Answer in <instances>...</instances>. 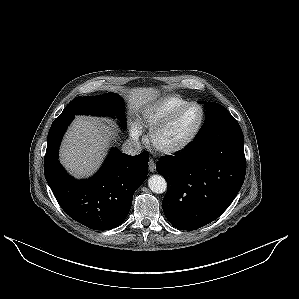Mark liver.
Here are the masks:
<instances>
[{
	"label": "liver",
	"mask_w": 299,
	"mask_h": 299,
	"mask_svg": "<svg viewBox=\"0 0 299 299\" xmlns=\"http://www.w3.org/2000/svg\"><path fill=\"white\" fill-rule=\"evenodd\" d=\"M156 96L154 88L132 89L127 97L129 108L138 109ZM110 136H116L112 126L95 118L76 117L61 146V163L76 178L92 175L110 147Z\"/></svg>",
	"instance_id": "6515ba94"
}]
</instances>
